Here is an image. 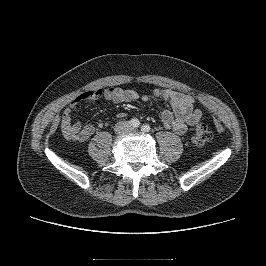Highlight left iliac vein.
<instances>
[{"label": "left iliac vein", "instance_id": "left-iliac-vein-1", "mask_svg": "<svg viewBox=\"0 0 266 266\" xmlns=\"http://www.w3.org/2000/svg\"><path fill=\"white\" fill-rule=\"evenodd\" d=\"M128 132H135V130L132 129V128H129V129H128Z\"/></svg>", "mask_w": 266, "mask_h": 266}]
</instances>
